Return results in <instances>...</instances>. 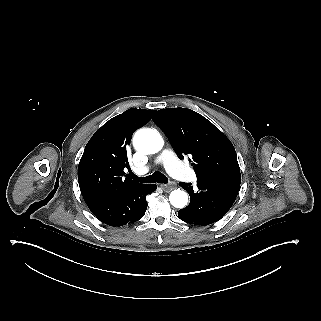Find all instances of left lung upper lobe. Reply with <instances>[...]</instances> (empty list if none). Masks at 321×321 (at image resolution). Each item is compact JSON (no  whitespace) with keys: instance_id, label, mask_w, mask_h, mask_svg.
<instances>
[{"instance_id":"5c2ea615","label":"left lung upper lobe","mask_w":321,"mask_h":321,"mask_svg":"<svg viewBox=\"0 0 321 321\" xmlns=\"http://www.w3.org/2000/svg\"><path fill=\"white\" fill-rule=\"evenodd\" d=\"M153 121L165 132L181 158L184 155L192 157L191 165L197 177L240 173L230 140L197 112L186 108L161 109Z\"/></svg>"}]
</instances>
